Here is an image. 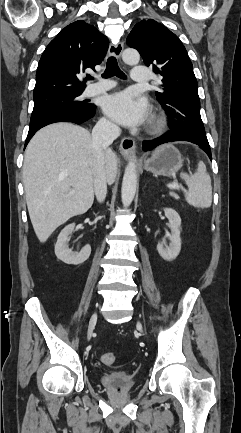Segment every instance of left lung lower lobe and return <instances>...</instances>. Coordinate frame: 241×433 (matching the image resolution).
<instances>
[{"mask_svg":"<svg viewBox=\"0 0 241 433\" xmlns=\"http://www.w3.org/2000/svg\"><path fill=\"white\" fill-rule=\"evenodd\" d=\"M172 141H188L194 144L199 145L209 156V158L211 159V150H210V146L209 143L203 142L189 134L183 133V132H177V131H169L165 134H163L162 136L154 139V140H150V141H144L143 142V150L144 151H148L153 149L154 147L167 143V142H172Z\"/></svg>","mask_w":241,"mask_h":433,"instance_id":"left-lung-lower-lobe-1","label":"left lung lower lobe"}]
</instances>
